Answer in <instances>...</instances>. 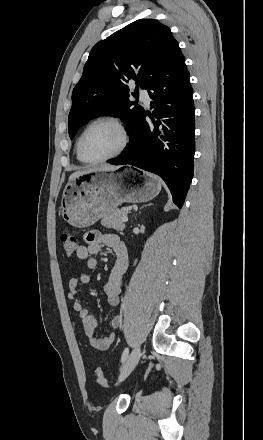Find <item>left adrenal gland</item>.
<instances>
[{"mask_svg": "<svg viewBox=\"0 0 263 440\" xmlns=\"http://www.w3.org/2000/svg\"><path fill=\"white\" fill-rule=\"evenodd\" d=\"M149 205H152V204L144 205V206H142V207L140 208V210L143 209V208L146 207V206H149Z\"/></svg>", "mask_w": 263, "mask_h": 440, "instance_id": "left-adrenal-gland-1", "label": "left adrenal gland"}]
</instances>
